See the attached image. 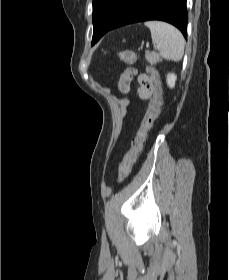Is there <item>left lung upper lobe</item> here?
Wrapping results in <instances>:
<instances>
[{"label":"left lung upper lobe","mask_w":229,"mask_h":280,"mask_svg":"<svg viewBox=\"0 0 229 280\" xmlns=\"http://www.w3.org/2000/svg\"><path fill=\"white\" fill-rule=\"evenodd\" d=\"M131 0H93V38L100 39L112 29L128 8Z\"/></svg>","instance_id":"1"}]
</instances>
